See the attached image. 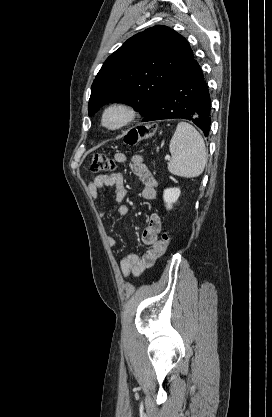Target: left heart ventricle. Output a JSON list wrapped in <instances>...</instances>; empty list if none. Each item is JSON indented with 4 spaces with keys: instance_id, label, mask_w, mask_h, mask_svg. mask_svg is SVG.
Segmentation results:
<instances>
[{
    "instance_id": "obj_1",
    "label": "left heart ventricle",
    "mask_w": 272,
    "mask_h": 417,
    "mask_svg": "<svg viewBox=\"0 0 272 417\" xmlns=\"http://www.w3.org/2000/svg\"><path fill=\"white\" fill-rule=\"evenodd\" d=\"M117 119H118V116H117V115H111V116L109 117V121H110L111 123L115 122Z\"/></svg>"
}]
</instances>
